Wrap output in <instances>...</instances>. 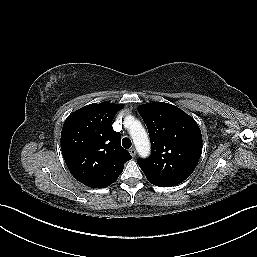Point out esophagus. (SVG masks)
<instances>
[{
	"mask_svg": "<svg viewBox=\"0 0 257 257\" xmlns=\"http://www.w3.org/2000/svg\"><path fill=\"white\" fill-rule=\"evenodd\" d=\"M129 152H130V154H131L133 157L136 156V149H135V148L129 149Z\"/></svg>",
	"mask_w": 257,
	"mask_h": 257,
	"instance_id": "1",
	"label": "esophagus"
}]
</instances>
